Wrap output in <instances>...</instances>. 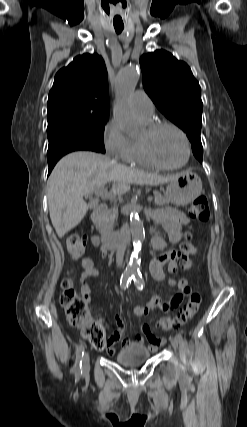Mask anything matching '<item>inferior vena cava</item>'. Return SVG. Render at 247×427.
Listing matches in <instances>:
<instances>
[{
	"mask_svg": "<svg viewBox=\"0 0 247 427\" xmlns=\"http://www.w3.org/2000/svg\"><path fill=\"white\" fill-rule=\"evenodd\" d=\"M127 243L125 240H121L120 244L117 247L116 251V264L118 267L123 266V259L126 250Z\"/></svg>",
	"mask_w": 247,
	"mask_h": 427,
	"instance_id": "obj_1",
	"label": "inferior vena cava"
}]
</instances>
